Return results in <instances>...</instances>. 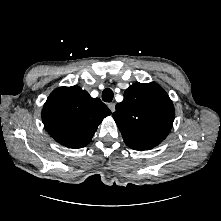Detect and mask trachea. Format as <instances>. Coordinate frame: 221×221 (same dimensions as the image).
Masks as SVG:
<instances>
[{
  "label": "trachea",
  "instance_id": "trachea-1",
  "mask_svg": "<svg viewBox=\"0 0 221 221\" xmlns=\"http://www.w3.org/2000/svg\"><path fill=\"white\" fill-rule=\"evenodd\" d=\"M114 94L110 88H105L102 92V100L104 102H111L113 100Z\"/></svg>",
  "mask_w": 221,
  "mask_h": 221
}]
</instances>
